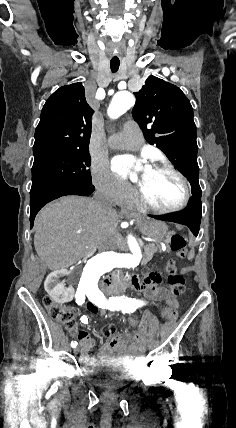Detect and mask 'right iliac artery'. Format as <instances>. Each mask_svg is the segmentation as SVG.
<instances>
[{
  "mask_svg": "<svg viewBox=\"0 0 236 428\" xmlns=\"http://www.w3.org/2000/svg\"><path fill=\"white\" fill-rule=\"evenodd\" d=\"M76 303L78 305H82L85 302V293L84 292H76L75 294ZM77 342H71V347L75 348L77 346Z\"/></svg>",
  "mask_w": 236,
  "mask_h": 428,
  "instance_id": "right-iliac-artery-1",
  "label": "right iliac artery"
}]
</instances>
